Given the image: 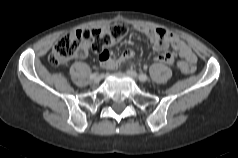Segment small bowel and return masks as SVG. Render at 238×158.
<instances>
[{"instance_id": "c3829d8e", "label": "small bowel", "mask_w": 238, "mask_h": 158, "mask_svg": "<svg viewBox=\"0 0 238 158\" xmlns=\"http://www.w3.org/2000/svg\"><path fill=\"white\" fill-rule=\"evenodd\" d=\"M138 30L150 39L155 51L162 52L169 47L175 51V54L169 52L160 53L155 57L156 61L174 65L177 63V59H180L191 65L195 64L196 56L191 48L174 33L162 28H151L146 26H140L138 27ZM133 56L134 51L126 49L119 57L114 58L111 52L106 49L99 55V60L104 68L114 70L133 58Z\"/></svg>"}]
</instances>
